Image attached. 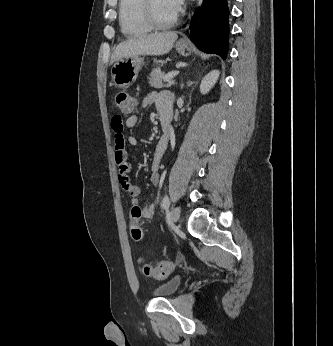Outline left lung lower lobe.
I'll use <instances>...</instances> for the list:
<instances>
[{
	"instance_id": "1",
	"label": "left lung lower lobe",
	"mask_w": 333,
	"mask_h": 346,
	"mask_svg": "<svg viewBox=\"0 0 333 346\" xmlns=\"http://www.w3.org/2000/svg\"><path fill=\"white\" fill-rule=\"evenodd\" d=\"M229 8L227 0H204L195 11L190 26V36L204 52L226 58L229 47Z\"/></svg>"
}]
</instances>
